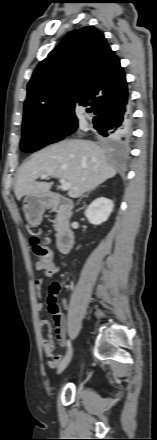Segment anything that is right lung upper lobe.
I'll return each mask as SVG.
<instances>
[{
  "instance_id": "obj_1",
  "label": "right lung upper lobe",
  "mask_w": 157,
  "mask_h": 440,
  "mask_svg": "<svg viewBox=\"0 0 157 440\" xmlns=\"http://www.w3.org/2000/svg\"><path fill=\"white\" fill-rule=\"evenodd\" d=\"M23 125L74 122L75 108L91 103L96 112L128 96L124 70L101 31L69 32L35 69L27 85Z\"/></svg>"
}]
</instances>
